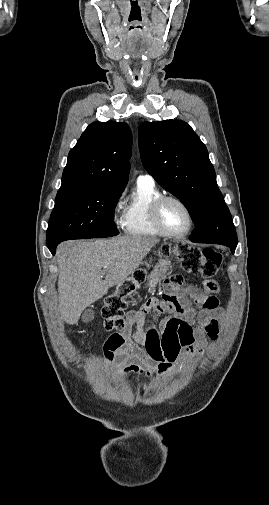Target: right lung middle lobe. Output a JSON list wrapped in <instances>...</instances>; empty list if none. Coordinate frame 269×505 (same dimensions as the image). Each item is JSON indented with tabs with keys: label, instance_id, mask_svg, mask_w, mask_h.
Instances as JSON below:
<instances>
[{
	"label": "right lung middle lobe",
	"instance_id": "obj_1",
	"mask_svg": "<svg viewBox=\"0 0 269 505\" xmlns=\"http://www.w3.org/2000/svg\"><path fill=\"white\" fill-rule=\"evenodd\" d=\"M122 192L100 187L59 189L47 229V245L118 235L114 209Z\"/></svg>",
	"mask_w": 269,
	"mask_h": 505
}]
</instances>
